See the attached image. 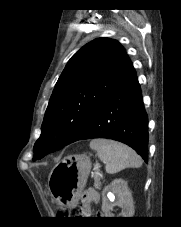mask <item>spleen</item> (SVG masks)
<instances>
[{
    "mask_svg": "<svg viewBox=\"0 0 181 227\" xmlns=\"http://www.w3.org/2000/svg\"><path fill=\"white\" fill-rule=\"evenodd\" d=\"M89 146L97 152L98 158L106 163L105 169L109 174L118 173L128 167L139 168L142 165L140 156L133 149L120 142L93 139Z\"/></svg>",
    "mask_w": 181,
    "mask_h": 227,
    "instance_id": "obj_1",
    "label": "spleen"
}]
</instances>
